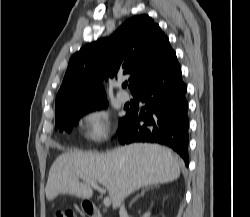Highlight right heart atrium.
<instances>
[{
	"label": "right heart atrium",
	"instance_id": "d8ad5b80",
	"mask_svg": "<svg viewBox=\"0 0 250 217\" xmlns=\"http://www.w3.org/2000/svg\"><path fill=\"white\" fill-rule=\"evenodd\" d=\"M79 126L83 138L87 141L100 142L109 137V115L103 108L90 107L84 110L79 117Z\"/></svg>",
	"mask_w": 250,
	"mask_h": 217
}]
</instances>
